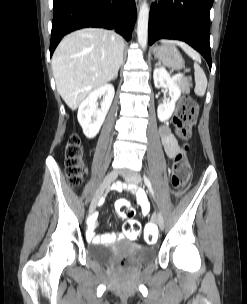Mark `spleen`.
<instances>
[{
  "label": "spleen",
  "mask_w": 247,
  "mask_h": 304,
  "mask_svg": "<svg viewBox=\"0 0 247 304\" xmlns=\"http://www.w3.org/2000/svg\"><path fill=\"white\" fill-rule=\"evenodd\" d=\"M188 55H190L195 61L199 60V57L197 53L192 51H186ZM194 76H195V89L194 92L198 96H203L206 91L207 87V78L203 71V69L200 67V65L195 62L194 63Z\"/></svg>",
  "instance_id": "spleen-1"
}]
</instances>
